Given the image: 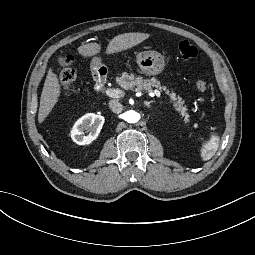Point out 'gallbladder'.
Here are the masks:
<instances>
[{
    "mask_svg": "<svg viewBox=\"0 0 255 255\" xmlns=\"http://www.w3.org/2000/svg\"><path fill=\"white\" fill-rule=\"evenodd\" d=\"M57 62L59 64V66H61V67L71 66V63L63 56H58Z\"/></svg>",
    "mask_w": 255,
    "mask_h": 255,
    "instance_id": "obj_1",
    "label": "gallbladder"
}]
</instances>
